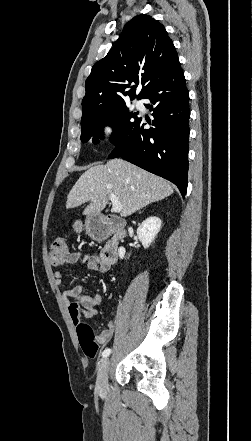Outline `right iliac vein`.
Returning <instances> with one entry per match:
<instances>
[{
    "mask_svg": "<svg viewBox=\"0 0 252 441\" xmlns=\"http://www.w3.org/2000/svg\"><path fill=\"white\" fill-rule=\"evenodd\" d=\"M110 369V359L105 358L98 370L97 381H96V390L99 395L105 396L107 390V380H108V372Z\"/></svg>",
    "mask_w": 252,
    "mask_h": 441,
    "instance_id": "1",
    "label": "right iliac vein"
}]
</instances>
